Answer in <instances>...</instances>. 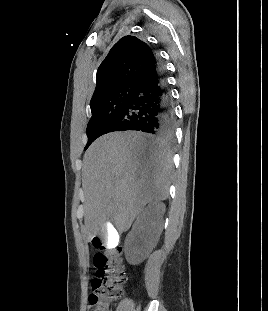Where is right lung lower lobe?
<instances>
[{
  "mask_svg": "<svg viewBox=\"0 0 268 311\" xmlns=\"http://www.w3.org/2000/svg\"><path fill=\"white\" fill-rule=\"evenodd\" d=\"M126 130L146 132L168 142L173 139L175 115L158 58L135 84L132 97L106 133Z\"/></svg>",
  "mask_w": 268,
  "mask_h": 311,
  "instance_id": "98d812e1",
  "label": "right lung lower lobe"
}]
</instances>
